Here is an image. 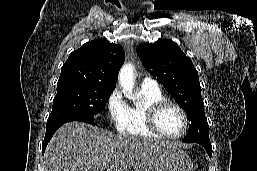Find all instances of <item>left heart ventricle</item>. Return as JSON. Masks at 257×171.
I'll list each match as a JSON object with an SVG mask.
<instances>
[{
  "mask_svg": "<svg viewBox=\"0 0 257 171\" xmlns=\"http://www.w3.org/2000/svg\"><path fill=\"white\" fill-rule=\"evenodd\" d=\"M158 126L167 135H178L184 128V122L176 108L167 106L159 113Z\"/></svg>",
  "mask_w": 257,
  "mask_h": 171,
  "instance_id": "left-heart-ventricle-1",
  "label": "left heart ventricle"
}]
</instances>
